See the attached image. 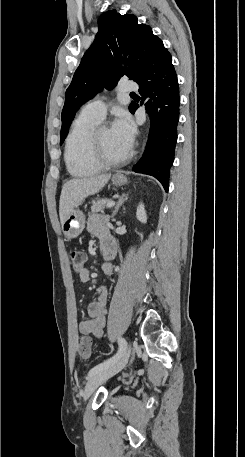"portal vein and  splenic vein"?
<instances>
[{
  "label": "portal vein and splenic vein",
  "mask_w": 245,
  "mask_h": 457,
  "mask_svg": "<svg viewBox=\"0 0 245 457\" xmlns=\"http://www.w3.org/2000/svg\"><path fill=\"white\" fill-rule=\"evenodd\" d=\"M114 204V200H110V202H107L106 206H114Z\"/></svg>",
  "instance_id": "obj_1"
}]
</instances>
